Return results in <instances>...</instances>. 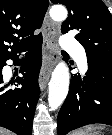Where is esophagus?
<instances>
[{"instance_id":"1","label":"esophagus","mask_w":112,"mask_h":135,"mask_svg":"<svg viewBox=\"0 0 112 135\" xmlns=\"http://www.w3.org/2000/svg\"><path fill=\"white\" fill-rule=\"evenodd\" d=\"M43 32L45 35L43 46V62L39 76V86L41 90L45 88L58 58V48L55 42L58 26L50 19L48 12L44 18Z\"/></svg>"}]
</instances>
